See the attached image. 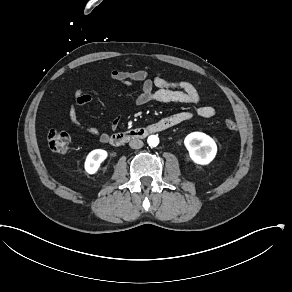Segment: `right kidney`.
I'll list each match as a JSON object with an SVG mask.
<instances>
[{
	"label": "right kidney",
	"mask_w": 292,
	"mask_h": 292,
	"mask_svg": "<svg viewBox=\"0 0 292 292\" xmlns=\"http://www.w3.org/2000/svg\"><path fill=\"white\" fill-rule=\"evenodd\" d=\"M107 157L108 152L104 149H95L89 152L84 162L85 172L88 175L96 174Z\"/></svg>",
	"instance_id": "obj_1"
}]
</instances>
